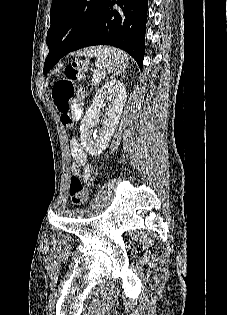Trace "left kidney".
<instances>
[{"mask_svg":"<svg viewBox=\"0 0 227 315\" xmlns=\"http://www.w3.org/2000/svg\"><path fill=\"white\" fill-rule=\"evenodd\" d=\"M106 102H108L107 106ZM125 102L126 88L120 81H109L96 93L80 125V141L84 150L90 155L99 156L106 149L120 120ZM104 107L106 113L103 127L99 131V136H94L91 128L99 116L100 109Z\"/></svg>","mask_w":227,"mask_h":315,"instance_id":"obj_1","label":"left kidney"}]
</instances>
